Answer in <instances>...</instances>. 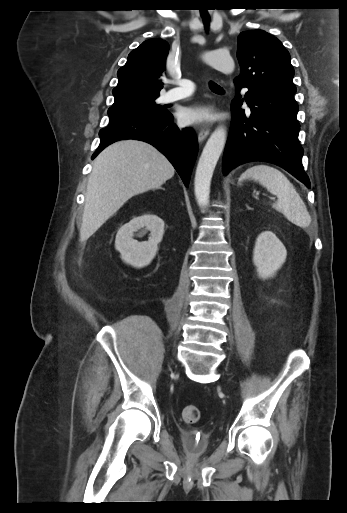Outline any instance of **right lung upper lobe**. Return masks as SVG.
<instances>
[{"label": "right lung upper lobe", "mask_w": 347, "mask_h": 513, "mask_svg": "<svg viewBox=\"0 0 347 513\" xmlns=\"http://www.w3.org/2000/svg\"><path fill=\"white\" fill-rule=\"evenodd\" d=\"M168 51L169 44L156 38L144 41L133 50L117 72L119 81L112 91L114 104L159 96Z\"/></svg>", "instance_id": "1"}]
</instances>
